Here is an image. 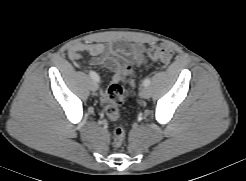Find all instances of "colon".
I'll use <instances>...</instances> for the list:
<instances>
[{
    "label": "colon",
    "instance_id": "5ec220e1",
    "mask_svg": "<svg viewBox=\"0 0 246 181\" xmlns=\"http://www.w3.org/2000/svg\"><path fill=\"white\" fill-rule=\"evenodd\" d=\"M142 55L160 64L168 63L174 52L172 48L165 44L152 45L146 50L142 51ZM131 84L132 81L130 80ZM128 97V93L117 83L111 84L105 91H103L102 100L105 105V113L109 119L115 121L119 118V106ZM125 130L118 126L113 131V145L119 148L124 141Z\"/></svg>",
    "mask_w": 246,
    "mask_h": 181
}]
</instances>
